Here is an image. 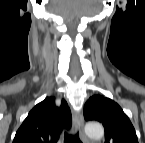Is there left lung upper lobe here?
<instances>
[{
	"label": "left lung upper lobe",
	"mask_w": 145,
	"mask_h": 143,
	"mask_svg": "<svg viewBox=\"0 0 145 143\" xmlns=\"http://www.w3.org/2000/svg\"><path fill=\"white\" fill-rule=\"evenodd\" d=\"M85 120H96L105 129V143H138L135 129L121 107L113 100L92 96L84 106Z\"/></svg>",
	"instance_id": "5c2ea615"
}]
</instances>
